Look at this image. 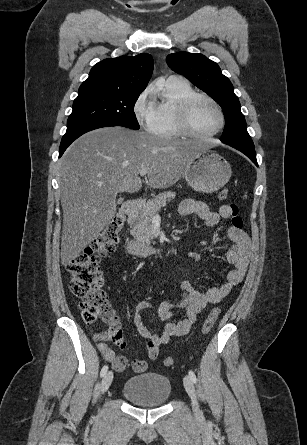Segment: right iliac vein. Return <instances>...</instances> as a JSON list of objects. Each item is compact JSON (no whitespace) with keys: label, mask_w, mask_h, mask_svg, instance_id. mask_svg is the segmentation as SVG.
<instances>
[{"label":"right iliac vein","mask_w":307,"mask_h":445,"mask_svg":"<svg viewBox=\"0 0 307 445\" xmlns=\"http://www.w3.org/2000/svg\"><path fill=\"white\" fill-rule=\"evenodd\" d=\"M112 380H113V372L109 371L104 375L102 382H101V392L102 393H105L109 389V387L112 383Z\"/></svg>","instance_id":"right-iliac-vein-1"}]
</instances>
